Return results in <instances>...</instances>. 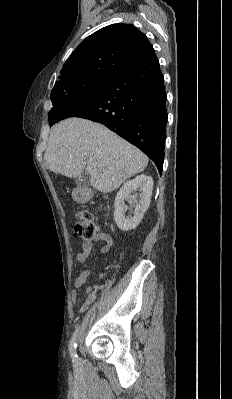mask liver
Masks as SVG:
<instances>
[{"label": "liver", "mask_w": 232, "mask_h": 399, "mask_svg": "<svg viewBox=\"0 0 232 399\" xmlns=\"http://www.w3.org/2000/svg\"><path fill=\"white\" fill-rule=\"evenodd\" d=\"M43 160L47 170L67 178L85 170L91 186L107 194L144 172L149 158L101 124L68 118L53 126Z\"/></svg>", "instance_id": "obj_1"}]
</instances>
